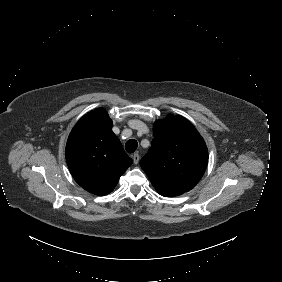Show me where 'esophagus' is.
I'll use <instances>...</instances> for the list:
<instances>
[{
    "instance_id": "1",
    "label": "esophagus",
    "mask_w": 282,
    "mask_h": 282,
    "mask_svg": "<svg viewBox=\"0 0 282 282\" xmlns=\"http://www.w3.org/2000/svg\"><path fill=\"white\" fill-rule=\"evenodd\" d=\"M133 161H134V164H138V162H139V154H137V153L133 154Z\"/></svg>"
}]
</instances>
